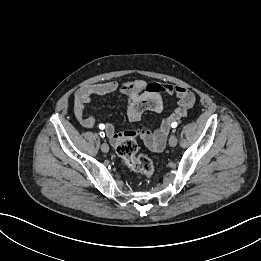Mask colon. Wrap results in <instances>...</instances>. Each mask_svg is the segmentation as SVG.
<instances>
[{
  "label": "colon",
  "mask_w": 261,
  "mask_h": 261,
  "mask_svg": "<svg viewBox=\"0 0 261 261\" xmlns=\"http://www.w3.org/2000/svg\"><path fill=\"white\" fill-rule=\"evenodd\" d=\"M116 151L125 164L134 172L147 178L154 175L155 168L146 156H138V145L133 134L125 136L117 145Z\"/></svg>",
  "instance_id": "obj_1"
}]
</instances>
